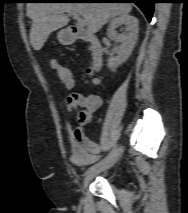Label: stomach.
<instances>
[{
	"label": "stomach",
	"instance_id": "0dacf381",
	"mask_svg": "<svg viewBox=\"0 0 188 213\" xmlns=\"http://www.w3.org/2000/svg\"><path fill=\"white\" fill-rule=\"evenodd\" d=\"M58 40L63 45H69L74 41V37L71 33H69L67 30H61L58 35Z\"/></svg>",
	"mask_w": 188,
	"mask_h": 213
}]
</instances>
